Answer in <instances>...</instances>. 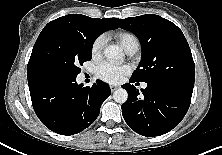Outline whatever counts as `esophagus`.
I'll use <instances>...</instances> for the list:
<instances>
[{
    "instance_id": "34e87169",
    "label": "esophagus",
    "mask_w": 222,
    "mask_h": 155,
    "mask_svg": "<svg viewBox=\"0 0 222 155\" xmlns=\"http://www.w3.org/2000/svg\"><path fill=\"white\" fill-rule=\"evenodd\" d=\"M119 88L117 85H110V89L112 92L116 91Z\"/></svg>"
}]
</instances>
